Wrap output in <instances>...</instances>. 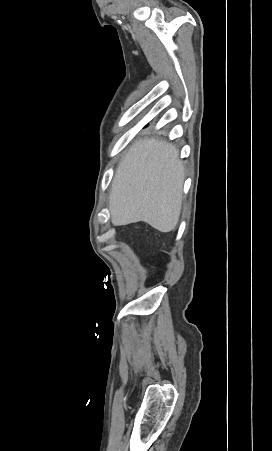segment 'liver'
Wrapping results in <instances>:
<instances>
[{"mask_svg":"<svg viewBox=\"0 0 272 451\" xmlns=\"http://www.w3.org/2000/svg\"><path fill=\"white\" fill-rule=\"evenodd\" d=\"M172 144L139 140L123 156L113 178L109 208L113 226L147 222L159 231L177 226L184 166Z\"/></svg>","mask_w":272,"mask_h":451,"instance_id":"obj_1","label":"liver"}]
</instances>
